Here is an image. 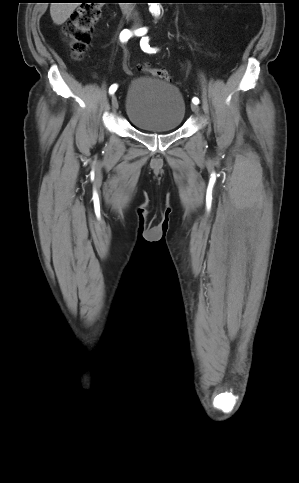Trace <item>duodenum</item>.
<instances>
[{
	"instance_id": "obj_1",
	"label": "duodenum",
	"mask_w": 299,
	"mask_h": 483,
	"mask_svg": "<svg viewBox=\"0 0 299 483\" xmlns=\"http://www.w3.org/2000/svg\"><path fill=\"white\" fill-rule=\"evenodd\" d=\"M123 3H125L123 6L125 15L129 18L133 17L135 15L134 7L131 5L133 2L130 0H125Z\"/></svg>"
}]
</instances>
